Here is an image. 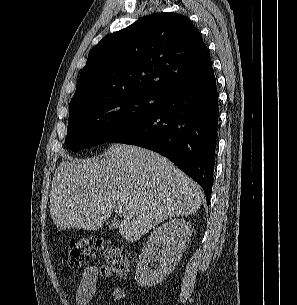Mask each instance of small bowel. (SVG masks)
I'll return each instance as SVG.
<instances>
[{
    "mask_svg": "<svg viewBox=\"0 0 297 305\" xmlns=\"http://www.w3.org/2000/svg\"><path fill=\"white\" fill-rule=\"evenodd\" d=\"M102 276L108 283L113 280V275L107 267L98 269L96 266H87L78 281H74L76 290V303L77 305H87L94 298L97 281L99 276ZM126 297V291L123 287L115 286L112 289L111 298L114 302H121Z\"/></svg>",
    "mask_w": 297,
    "mask_h": 305,
    "instance_id": "obj_1",
    "label": "small bowel"
}]
</instances>
